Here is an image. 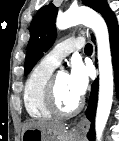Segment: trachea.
<instances>
[{
    "label": "trachea",
    "mask_w": 119,
    "mask_h": 141,
    "mask_svg": "<svg viewBox=\"0 0 119 141\" xmlns=\"http://www.w3.org/2000/svg\"><path fill=\"white\" fill-rule=\"evenodd\" d=\"M84 51L85 52H92L93 51L92 45L91 44H86Z\"/></svg>",
    "instance_id": "1"
}]
</instances>
